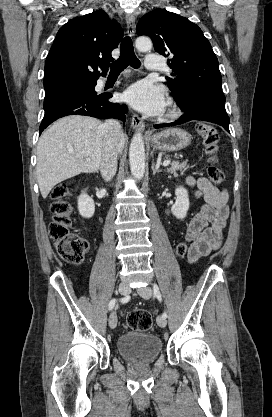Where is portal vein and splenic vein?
Instances as JSON below:
<instances>
[{
    "instance_id": "18ae733b",
    "label": "portal vein and splenic vein",
    "mask_w": 272,
    "mask_h": 417,
    "mask_svg": "<svg viewBox=\"0 0 272 417\" xmlns=\"http://www.w3.org/2000/svg\"><path fill=\"white\" fill-rule=\"evenodd\" d=\"M86 161H90V158H86ZM170 164V160H166L163 162V166L166 167Z\"/></svg>"
}]
</instances>
